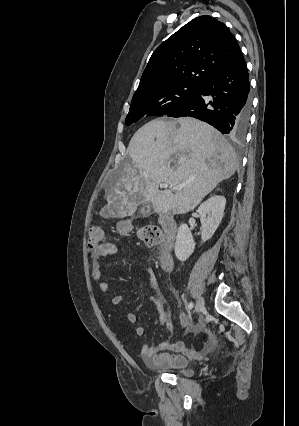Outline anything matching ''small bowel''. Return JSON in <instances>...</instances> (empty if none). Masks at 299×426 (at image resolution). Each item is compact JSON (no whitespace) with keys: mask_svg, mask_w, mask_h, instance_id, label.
<instances>
[{"mask_svg":"<svg viewBox=\"0 0 299 426\" xmlns=\"http://www.w3.org/2000/svg\"><path fill=\"white\" fill-rule=\"evenodd\" d=\"M117 252L118 247L115 243L112 242H107L105 245L91 251V275L95 281L100 282L99 288L103 294L108 293L109 284L106 281H102L103 271L100 260L105 256L114 255ZM147 271L150 277L148 289L152 290L155 285L154 274L151 268H148ZM151 299L154 300L153 297H151ZM123 301L124 296L121 294L115 295L112 298L113 305H120ZM160 314L161 324L165 325L170 333H173L174 325L165 315V311L162 306H160ZM125 316L128 322L131 324L136 323L137 317L134 313L128 312ZM179 318L181 327L189 326V320L183 312L179 313ZM135 333L137 336L141 337L145 334V328L139 325L136 327ZM199 355L200 353L195 349L188 348L183 342L174 341L172 339H167L154 346L144 345L140 351L141 358L148 366L172 369L185 368L189 360L197 358Z\"/></svg>","mask_w":299,"mask_h":426,"instance_id":"c3829d8e","label":"small bowel"}]
</instances>
